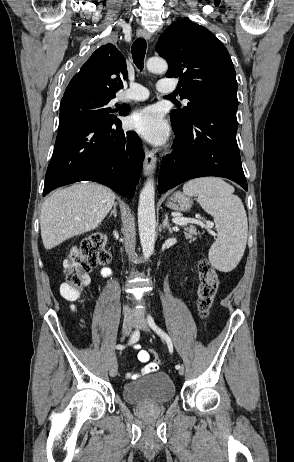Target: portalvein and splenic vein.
Segmentation results:
<instances>
[{
	"label": "portal vein and splenic vein",
	"mask_w": 294,
	"mask_h": 462,
	"mask_svg": "<svg viewBox=\"0 0 294 462\" xmlns=\"http://www.w3.org/2000/svg\"><path fill=\"white\" fill-rule=\"evenodd\" d=\"M172 222L175 223L176 225H179V226H184V225H187L188 223H193V224H199L201 226H203L204 224L199 221V220H196V219H191V218H173L172 219Z\"/></svg>",
	"instance_id": "1"
}]
</instances>
